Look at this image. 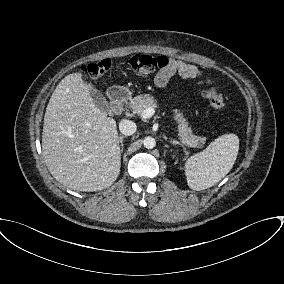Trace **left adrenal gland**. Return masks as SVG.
I'll list each match as a JSON object with an SVG mask.
<instances>
[{"label": "left adrenal gland", "instance_id": "obj_1", "mask_svg": "<svg viewBox=\"0 0 284 284\" xmlns=\"http://www.w3.org/2000/svg\"><path fill=\"white\" fill-rule=\"evenodd\" d=\"M170 143L173 144V145H180V146L183 148L184 152L186 151V150H185V147L183 146V144L180 143L179 141L174 140V139H173V140L171 139V140H170Z\"/></svg>", "mask_w": 284, "mask_h": 284}]
</instances>
